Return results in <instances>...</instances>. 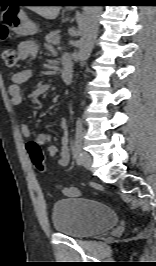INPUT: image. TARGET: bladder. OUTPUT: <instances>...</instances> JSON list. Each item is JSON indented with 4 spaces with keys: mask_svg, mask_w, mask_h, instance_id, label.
<instances>
[{
    "mask_svg": "<svg viewBox=\"0 0 156 266\" xmlns=\"http://www.w3.org/2000/svg\"><path fill=\"white\" fill-rule=\"evenodd\" d=\"M117 221L114 210L96 200L64 199L57 201L52 208L55 231L73 238H87L103 233Z\"/></svg>",
    "mask_w": 156,
    "mask_h": 266,
    "instance_id": "bladder-1",
    "label": "bladder"
}]
</instances>
